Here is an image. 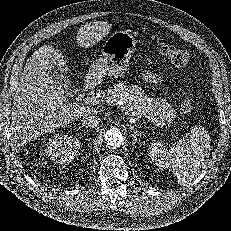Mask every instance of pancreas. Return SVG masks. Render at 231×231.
I'll return each mask as SVG.
<instances>
[{
    "label": "pancreas",
    "instance_id": "obj_1",
    "mask_svg": "<svg viewBox=\"0 0 231 231\" xmlns=\"http://www.w3.org/2000/svg\"><path fill=\"white\" fill-rule=\"evenodd\" d=\"M104 98L112 104L122 101L123 108L132 117H154L168 125L176 118V111L166 99L145 95L137 85L114 84L106 91Z\"/></svg>",
    "mask_w": 231,
    "mask_h": 231
}]
</instances>
